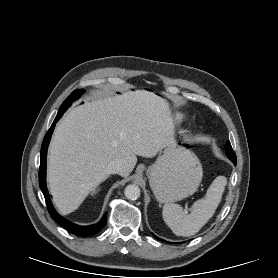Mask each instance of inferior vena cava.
<instances>
[{
	"mask_svg": "<svg viewBox=\"0 0 278 278\" xmlns=\"http://www.w3.org/2000/svg\"><path fill=\"white\" fill-rule=\"evenodd\" d=\"M123 163L120 160H114L107 166L108 174H119L123 169Z\"/></svg>",
	"mask_w": 278,
	"mask_h": 278,
	"instance_id": "1",
	"label": "inferior vena cava"
}]
</instances>
